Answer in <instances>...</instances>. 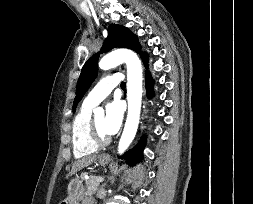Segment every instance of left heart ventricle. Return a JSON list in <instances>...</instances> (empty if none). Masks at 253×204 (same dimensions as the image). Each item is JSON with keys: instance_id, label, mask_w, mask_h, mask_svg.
Wrapping results in <instances>:
<instances>
[{"instance_id": "b2bd125f", "label": "left heart ventricle", "mask_w": 253, "mask_h": 204, "mask_svg": "<svg viewBox=\"0 0 253 204\" xmlns=\"http://www.w3.org/2000/svg\"><path fill=\"white\" fill-rule=\"evenodd\" d=\"M94 121L100 133H102L103 135H108L105 131V117L98 116L94 119Z\"/></svg>"}]
</instances>
